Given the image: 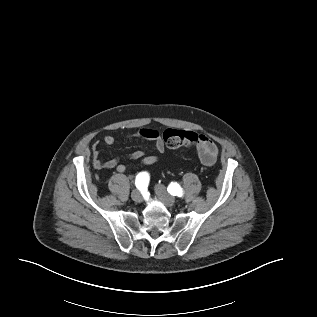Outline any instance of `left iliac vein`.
I'll use <instances>...</instances> for the list:
<instances>
[{"label":"left iliac vein","mask_w":317,"mask_h":317,"mask_svg":"<svg viewBox=\"0 0 317 317\" xmlns=\"http://www.w3.org/2000/svg\"><path fill=\"white\" fill-rule=\"evenodd\" d=\"M155 193L166 206L171 207L175 204V198L168 193L165 186L156 185Z\"/></svg>","instance_id":"left-iliac-vein-1"}]
</instances>
